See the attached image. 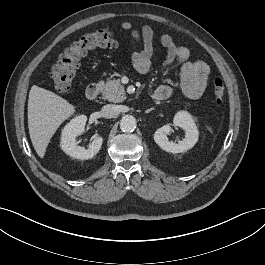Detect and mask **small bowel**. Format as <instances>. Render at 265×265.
Returning <instances> with one entry per match:
<instances>
[{
  "instance_id": "1",
  "label": "small bowel",
  "mask_w": 265,
  "mask_h": 265,
  "mask_svg": "<svg viewBox=\"0 0 265 265\" xmlns=\"http://www.w3.org/2000/svg\"><path fill=\"white\" fill-rule=\"evenodd\" d=\"M122 29L130 34L136 44L142 45L133 51L132 61L139 73H147L152 64L154 50L153 29L148 25L137 29L129 21L122 23ZM160 43L166 49L165 64L179 63L181 65V90L183 94L190 99L199 98L208 81L209 66L201 60L191 61L188 48L175 44L169 34H162ZM170 94L171 88L166 84L159 85L154 91V97L158 100H164Z\"/></svg>"
}]
</instances>
